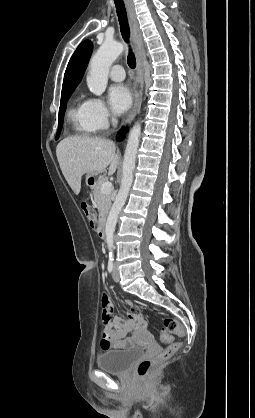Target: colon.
Listing matches in <instances>:
<instances>
[{
	"mask_svg": "<svg viewBox=\"0 0 255 418\" xmlns=\"http://www.w3.org/2000/svg\"><path fill=\"white\" fill-rule=\"evenodd\" d=\"M80 208L86 217L88 223L91 226L95 225V213L89 204L82 200L80 202ZM177 335L179 341L172 342V336ZM186 337L185 328L174 318H166L164 320V329L162 331V339L169 345L158 353L156 356L151 358L143 359L137 366V374L140 378L148 377L153 370L162 362L172 357L182 346L183 340Z\"/></svg>",
	"mask_w": 255,
	"mask_h": 418,
	"instance_id": "colon-1",
	"label": "colon"
}]
</instances>
